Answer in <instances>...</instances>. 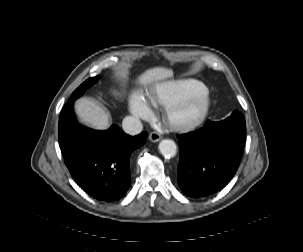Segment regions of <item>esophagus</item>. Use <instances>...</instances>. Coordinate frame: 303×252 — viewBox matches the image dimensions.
<instances>
[{
	"label": "esophagus",
	"instance_id": "esophagus-1",
	"mask_svg": "<svg viewBox=\"0 0 303 252\" xmlns=\"http://www.w3.org/2000/svg\"><path fill=\"white\" fill-rule=\"evenodd\" d=\"M161 138H162V136L157 132H151L149 135V139L152 142H158L161 140Z\"/></svg>",
	"mask_w": 303,
	"mask_h": 252
}]
</instances>
